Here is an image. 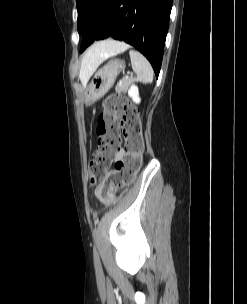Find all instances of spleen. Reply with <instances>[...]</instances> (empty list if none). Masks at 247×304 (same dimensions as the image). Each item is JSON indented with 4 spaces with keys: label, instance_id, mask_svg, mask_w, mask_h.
I'll return each mask as SVG.
<instances>
[{
    "label": "spleen",
    "instance_id": "obj_1",
    "mask_svg": "<svg viewBox=\"0 0 247 304\" xmlns=\"http://www.w3.org/2000/svg\"><path fill=\"white\" fill-rule=\"evenodd\" d=\"M129 54L137 80L145 84L152 83L154 72L149 61L138 51L130 50Z\"/></svg>",
    "mask_w": 247,
    "mask_h": 304
}]
</instances>
